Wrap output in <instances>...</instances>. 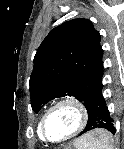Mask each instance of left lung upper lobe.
I'll list each match as a JSON object with an SVG mask.
<instances>
[{"label":"left lung upper lobe","mask_w":124,"mask_h":149,"mask_svg":"<svg viewBox=\"0 0 124 149\" xmlns=\"http://www.w3.org/2000/svg\"><path fill=\"white\" fill-rule=\"evenodd\" d=\"M101 36L87 19L54 28L39 46L30 76L33 111L48 101L73 96L84 103L102 85Z\"/></svg>","instance_id":"obj_1"}]
</instances>
